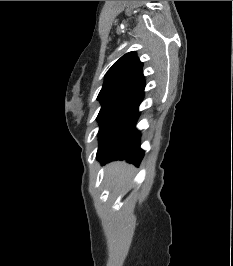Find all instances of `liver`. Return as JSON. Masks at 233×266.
<instances>
[{"label": "liver", "instance_id": "6515ba94", "mask_svg": "<svg viewBox=\"0 0 233 266\" xmlns=\"http://www.w3.org/2000/svg\"><path fill=\"white\" fill-rule=\"evenodd\" d=\"M133 167L125 162H114L107 166V174L111 177V182L114 188L120 187L129 179Z\"/></svg>", "mask_w": 233, "mask_h": 266}]
</instances>
